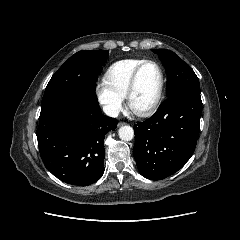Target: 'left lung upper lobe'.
I'll return each instance as SVG.
<instances>
[{"mask_svg":"<svg viewBox=\"0 0 240 240\" xmlns=\"http://www.w3.org/2000/svg\"><path fill=\"white\" fill-rule=\"evenodd\" d=\"M159 55L167 73V96L185 90L200 91L199 79L192 68L167 49L153 50Z\"/></svg>","mask_w":240,"mask_h":240,"instance_id":"1","label":"left lung upper lobe"}]
</instances>
